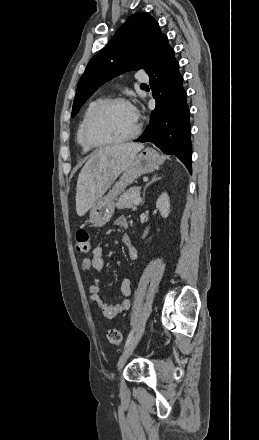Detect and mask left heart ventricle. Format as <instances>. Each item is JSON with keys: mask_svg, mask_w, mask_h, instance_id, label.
Instances as JSON below:
<instances>
[{"mask_svg": "<svg viewBox=\"0 0 259 440\" xmlns=\"http://www.w3.org/2000/svg\"><path fill=\"white\" fill-rule=\"evenodd\" d=\"M133 108L116 104L102 112L93 122L90 135L96 141H109L129 135L136 126Z\"/></svg>", "mask_w": 259, "mask_h": 440, "instance_id": "1", "label": "left heart ventricle"}]
</instances>
